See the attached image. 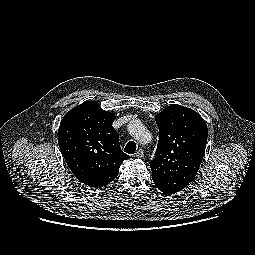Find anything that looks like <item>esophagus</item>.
I'll return each instance as SVG.
<instances>
[{
	"instance_id": "34e87169",
	"label": "esophagus",
	"mask_w": 255,
	"mask_h": 255,
	"mask_svg": "<svg viewBox=\"0 0 255 255\" xmlns=\"http://www.w3.org/2000/svg\"><path fill=\"white\" fill-rule=\"evenodd\" d=\"M145 155V152L143 149H139L135 154L134 156L137 157V158H143Z\"/></svg>"
}]
</instances>
